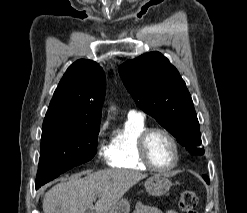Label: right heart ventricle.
I'll use <instances>...</instances> for the list:
<instances>
[{"mask_svg":"<svg viewBox=\"0 0 247 213\" xmlns=\"http://www.w3.org/2000/svg\"><path fill=\"white\" fill-rule=\"evenodd\" d=\"M146 128L143 118L128 117L124 125L112 134L108 144L111 167L133 171L147 170L137 153V139Z\"/></svg>","mask_w":247,"mask_h":213,"instance_id":"e07e8e85","label":"right heart ventricle"}]
</instances>
